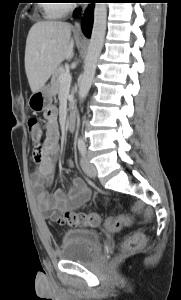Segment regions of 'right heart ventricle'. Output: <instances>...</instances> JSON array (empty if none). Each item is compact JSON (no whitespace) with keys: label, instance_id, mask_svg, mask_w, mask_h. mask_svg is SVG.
Returning a JSON list of instances; mask_svg holds the SVG:
<instances>
[{"label":"right heart ventricle","instance_id":"right-heart-ventricle-1","mask_svg":"<svg viewBox=\"0 0 181 300\" xmlns=\"http://www.w3.org/2000/svg\"><path fill=\"white\" fill-rule=\"evenodd\" d=\"M50 3L43 4V11L45 17L49 19H56L63 17L68 11V6L61 2V0H46Z\"/></svg>","mask_w":181,"mask_h":300}]
</instances>
